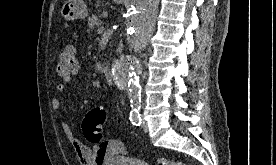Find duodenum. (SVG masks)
<instances>
[{"label":"duodenum","mask_w":276,"mask_h":165,"mask_svg":"<svg viewBox=\"0 0 276 165\" xmlns=\"http://www.w3.org/2000/svg\"><path fill=\"white\" fill-rule=\"evenodd\" d=\"M104 76H105V78H106L108 81H111L112 75H111V69H110L109 66H106V67L104 68Z\"/></svg>","instance_id":"1"}]
</instances>
